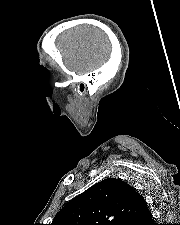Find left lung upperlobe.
I'll return each instance as SVG.
<instances>
[{
  "instance_id": "left-lung-upper-lobe-1",
  "label": "left lung upper lobe",
  "mask_w": 180,
  "mask_h": 225,
  "mask_svg": "<svg viewBox=\"0 0 180 225\" xmlns=\"http://www.w3.org/2000/svg\"><path fill=\"white\" fill-rule=\"evenodd\" d=\"M146 207L130 185L107 178L68 202L51 225H126Z\"/></svg>"
}]
</instances>
